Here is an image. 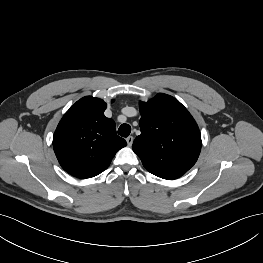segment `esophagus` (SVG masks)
<instances>
[{
    "label": "esophagus",
    "instance_id": "1",
    "mask_svg": "<svg viewBox=\"0 0 263 263\" xmlns=\"http://www.w3.org/2000/svg\"><path fill=\"white\" fill-rule=\"evenodd\" d=\"M134 138L133 136H129L126 138V142L128 144V146H131L133 144Z\"/></svg>",
    "mask_w": 263,
    "mask_h": 263
}]
</instances>
